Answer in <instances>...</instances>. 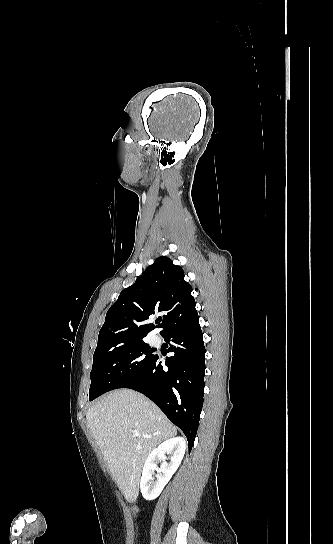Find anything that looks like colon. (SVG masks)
<instances>
[{
  "label": "colon",
  "mask_w": 333,
  "mask_h": 544,
  "mask_svg": "<svg viewBox=\"0 0 333 544\" xmlns=\"http://www.w3.org/2000/svg\"><path fill=\"white\" fill-rule=\"evenodd\" d=\"M133 510H134V512H137V509H136V507H134V508H133Z\"/></svg>",
  "instance_id": "colon-1"
}]
</instances>
